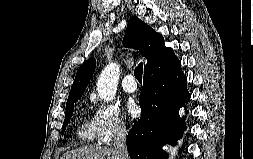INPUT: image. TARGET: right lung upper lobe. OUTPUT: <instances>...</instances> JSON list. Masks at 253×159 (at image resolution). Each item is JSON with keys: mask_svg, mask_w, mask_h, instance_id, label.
<instances>
[{"mask_svg": "<svg viewBox=\"0 0 253 159\" xmlns=\"http://www.w3.org/2000/svg\"><path fill=\"white\" fill-rule=\"evenodd\" d=\"M123 45L139 50L140 54L147 59L144 75L163 73L180 63L172 48L165 46L162 35L156 33L155 30L135 16L131 17L128 22ZM95 66L94 58L88 59L81 65L71 86L67 101L82 96L95 71Z\"/></svg>", "mask_w": 253, "mask_h": 159, "instance_id": "obj_1", "label": "right lung upper lobe"}]
</instances>
